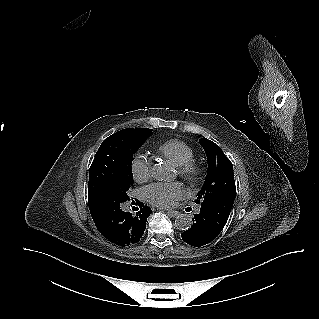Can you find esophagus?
Segmentation results:
<instances>
[{
    "label": "esophagus",
    "instance_id": "esophagus-1",
    "mask_svg": "<svg viewBox=\"0 0 319 319\" xmlns=\"http://www.w3.org/2000/svg\"><path fill=\"white\" fill-rule=\"evenodd\" d=\"M166 212H167V214H168L169 216H171V217H176V216L179 215V212H178V211H175V210H167Z\"/></svg>",
    "mask_w": 319,
    "mask_h": 319
}]
</instances>
